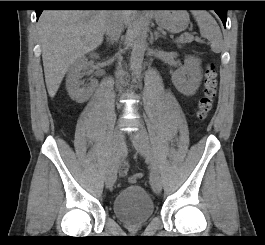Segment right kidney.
Listing matches in <instances>:
<instances>
[{"mask_svg": "<svg viewBox=\"0 0 265 245\" xmlns=\"http://www.w3.org/2000/svg\"><path fill=\"white\" fill-rule=\"evenodd\" d=\"M97 58L96 54L91 55ZM89 62L86 57L77 59L69 68L66 78V87L70 97L78 103L87 101L93 93V86H84L81 81L83 72L87 71Z\"/></svg>", "mask_w": 265, "mask_h": 245, "instance_id": "right-kidney-1", "label": "right kidney"}]
</instances>
